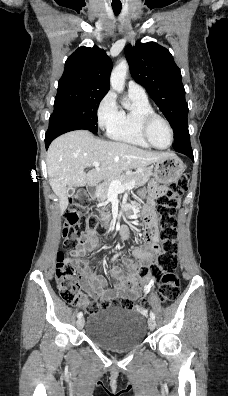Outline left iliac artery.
I'll use <instances>...</instances> for the list:
<instances>
[{"label":"left iliac artery","mask_w":228,"mask_h":396,"mask_svg":"<svg viewBox=\"0 0 228 396\" xmlns=\"http://www.w3.org/2000/svg\"><path fill=\"white\" fill-rule=\"evenodd\" d=\"M150 317L153 318V319H155V314H154V312H152V311L150 312Z\"/></svg>","instance_id":"1"}]
</instances>
